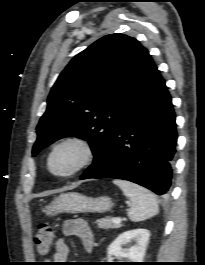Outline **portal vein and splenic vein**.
Wrapping results in <instances>:
<instances>
[{
	"mask_svg": "<svg viewBox=\"0 0 205 265\" xmlns=\"http://www.w3.org/2000/svg\"><path fill=\"white\" fill-rule=\"evenodd\" d=\"M112 222L113 223H121L122 219L120 217H114V218H112Z\"/></svg>",
	"mask_w": 205,
	"mask_h": 265,
	"instance_id": "18ae733b",
	"label": "portal vein and splenic vein"
}]
</instances>
